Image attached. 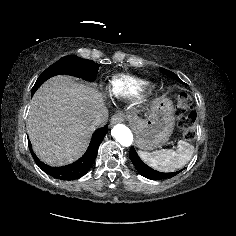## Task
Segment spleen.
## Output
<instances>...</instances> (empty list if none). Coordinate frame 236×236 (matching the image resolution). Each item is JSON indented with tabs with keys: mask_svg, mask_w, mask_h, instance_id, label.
Segmentation results:
<instances>
[{
	"mask_svg": "<svg viewBox=\"0 0 236 236\" xmlns=\"http://www.w3.org/2000/svg\"><path fill=\"white\" fill-rule=\"evenodd\" d=\"M193 153L194 146L184 140L178 141L177 150L162 149L151 153L138 152L145 163L160 172H173L183 167L190 161Z\"/></svg>",
	"mask_w": 236,
	"mask_h": 236,
	"instance_id": "3e777b00",
	"label": "spleen"
}]
</instances>
